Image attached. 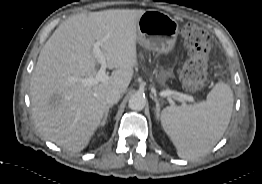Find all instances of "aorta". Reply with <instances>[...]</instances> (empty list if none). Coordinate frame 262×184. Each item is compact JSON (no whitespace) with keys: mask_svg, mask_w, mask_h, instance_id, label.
I'll use <instances>...</instances> for the list:
<instances>
[{"mask_svg":"<svg viewBox=\"0 0 262 184\" xmlns=\"http://www.w3.org/2000/svg\"><path fill=\"white\" fill-rule=\"evenodd\" d=\"M146 105V98L141 94H133L128 101V106L132 110L141 111Z\"/></svg>","mask_w":262,"mask_h":184,"instance_id":"1","label":"aorta"}]
</instances>
